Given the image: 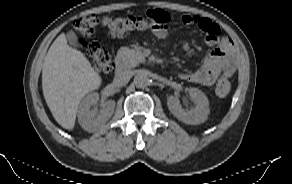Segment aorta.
<instances>
[{
    "label": "aorta",
    "instance_id": "aorta-1",
    "mask_svg": "<svg viewBox=\"0 0 292 184\" xmlns=\"http://www.w3.org/2000/svg\"><path fill=\"white\" fill-rule=\"evenodd\" d=\"M134 84L137 88H145L149 84V78L147 75L143 72H139L135 77H134Z\"/></svg>",
    "mask_w": 292,
    "mask_h": 184
}]
</instances>
